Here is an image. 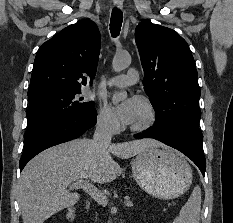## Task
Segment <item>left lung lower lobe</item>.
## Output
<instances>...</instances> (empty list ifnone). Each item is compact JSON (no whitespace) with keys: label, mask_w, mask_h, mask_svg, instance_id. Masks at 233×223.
<instances>
[{"label":"left lung lower lobe","mask_w":233,"mask_h":223,"mask_svg":"<svg viewBox=\"0 0 233 223\" xmlns=\"http://www.w3.org/2000/svg\"><path fill=\"white\" fill-rule=\"evenodd\" d=\"M135 138H153L171 146L188 158L200 169L203 176L206 170V160L203 152V135L199 128L180 126L174 128L152 126L142 133L135 134Z\"/></svg>","instance_id":"1"}]
</instances>
